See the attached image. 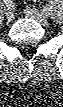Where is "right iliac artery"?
Returning a JSON list of instances; mask_svg holds the SVG:
<instances>
[{"label":"right iliac artery","mask_w":63,"mask_h":107,"mask_svg":"<svg viewBox=\"0 0 63 107\" xmlns=\"http://www.w3.org/2000/svg\"><path fill=\"white\" fill-rule=\"evenodd\" d=\"M5 5L8 7L9 10H12V1L11 0H4Z\"/></svg>","instance_id":"82829eb1"}]
</instances>
